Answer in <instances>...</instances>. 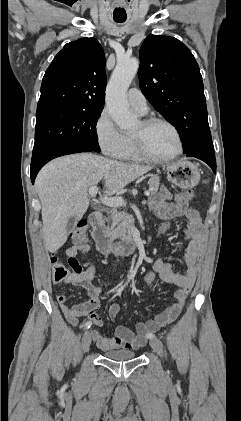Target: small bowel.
Instances as JSON below:
<instances>
[{
  "mask_svg": "<svg viewBox=\"0 0 241 421\" xmlns=\"http://www.w3.org/2000/svg\"><path fill=\"white\" fill-rule=\"evenodd\" d=\"M150 210L155 216L163 220L185 219L186 226L183 229V237L186 241L184 262L187 269L185 272H178L174 265L168 261L162 259L152 260L153 269L158 276L166 283L178 286V290L175 292L176 302L154 319L138 323L136 332L122 325L117 326L113 335L109 337L103 336L98 330H92L91 336L94 342L103 351L119 348L139 349L143 347L150 335H153L157 329L171 323L178 317L196 281L205 243V229L199 212L193 208H185L173 202L171 193L165 188L151 198ZM89 250L90 245L84 243L68 248L66 254L68 257L75 258L78 253L83 255ZM95 272L96 268L92 263L84 262V268L81 272L73 273L65 280L66 283H73L85 289L89 294V300L70 306L66 303L64 293H59L56 297L65 318L73 326L78 325L79 318L82 316H88L90 318L89 321L97 327L102 325V321L96 313L100 306L102 288L92 282ZM119 311L120 306L118 303H112L109 306L108 316L111 321L117 318Z\"/></svg>",
  "mask_w": 241,
  "mask_h": 421,
  "instance_id": "c3829d8e",
  "label": "small bowel"
}]
</instances>
